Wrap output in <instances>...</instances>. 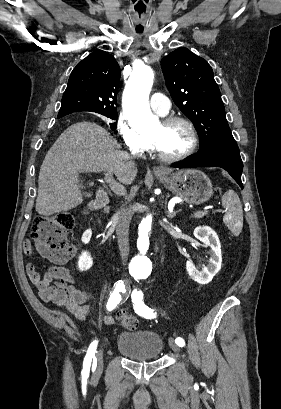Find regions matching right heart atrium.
<instances>
[{
    "label": "right heart atrium",
    "mask_w": 281,
    "mask_h": 409,
    "mask_svg": "<svg viewBox=\"0 0 281 409\" xmlns=\"http://www.w3.org/2000/svg\"><path fill=\"white\" fill-rule=\"evenodd\" d=\"M141 115H118L115 122L116 130L118 131L121 142L125 148L129 150H136L140 148L144 141L143 138L137 134L136 123L129 118H138Z\"/></svg>",
    "instance_id": "d8ad5b80"
}]
</instances>
